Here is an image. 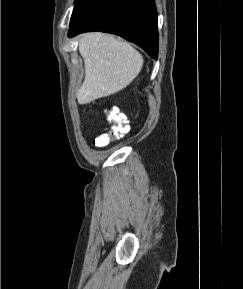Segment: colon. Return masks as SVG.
<instances>
[{
  "label": "colon",
  "instance_id": "5ec220e1",
  "mask_svg": "<svg viewBox=\"0 0 243 289\" xmlns=\"http://www.w3.org/2000/svg\"><path fill=\"white\" fill-rule=\"evenodd\" d=\"M105 116L110 125L103 134L95 138L94 145L97 147H105L110 142L119 139L129 131L127 117L119 108H107L105 110Z\"/></svg>",
  "mask_w": 243,
  "mask_h": 289
}]
</instances>
